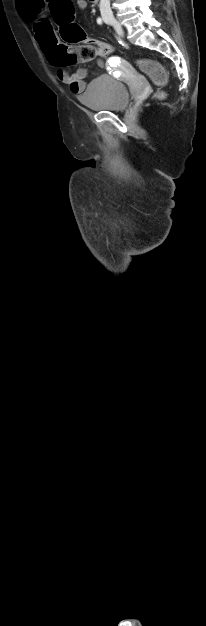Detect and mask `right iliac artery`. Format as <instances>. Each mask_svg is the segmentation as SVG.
Wrapping results in <instances>:
<instances>
[{
	"mask_svg": "<svg viewBox=\"0 0 206 626\" xmlns=\"http://www.w3.org/2000/svg\"><path fill=\"white\" fill-rule=\"evenodd\" d=\"M97 23L100 24V25L102 24V19L100 17L97 18Z\"/></svg>",
	"mask_w": 206,
	"mask_h": 626,
	"instance_id": "obj_1",
	"label": "right iliac artery"
}]
</instances>
